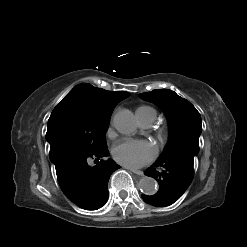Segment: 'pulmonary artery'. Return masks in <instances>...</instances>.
I'll return each mask as SVG.
<instances>
[{
	"mask_svg": "<svg viewBox=\"0 0 247 247\" xmlns=\"http://www.w3.org/2000/svg\"><path fill=\"white\" fill-rule=\"evenodd\" d=\"M151 122H144V123H142V125L144 126V127H150L151 126Z\"/></svg>",
	"mask_w": 247,
	"mask_h": 247,
	"instance_id": "obj_1",
	"label": "pulmonary artery"
}]
</instances>
